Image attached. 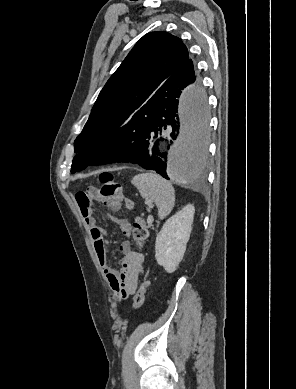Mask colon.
Segmentation results:
<instances>
[{"label": "colon", "mask_w": 296, "mask_h": 389, "mask_svg": "<svg viewBox=\"0 0 296 389\" xmlns=\"http://www.w3.org/2000/svg\"><path fill=\"white\" fill-rule=\"evenodd\" d=\"M100 185L97 191L99 198L109 207L120 205L123 201L125 206L132 210L134 204L132 200L125 197L121 184L115 180L114 176L109 172H103L99 176ZM132 236L137 246H142L148 237V228L141 216H136L133 223ZM150 282L145 280L141 283L138 291L134 296V308L140 309L146 300V292Z\"/></svg>", "instance_id": "colon-1"}]
</instances>
